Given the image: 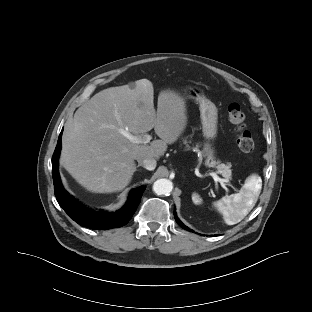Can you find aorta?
Listing matches in <instances>:
<instances>
[{
	"label": "aorta",
	"instance_id": "762f6f07",
	"mask_svg": "<svg viewBox=\"0 0 312 312\" xmlns=\"http://www.w3.org/2000/svg\"><path fill=\"white\" fill-rule=\"evenodd\" d=\"M173 189V184L168 179H158L153 184V191L157 195H167L169 194Z\"/></svg>",
	"mask_w": 312,
	"mask_h": 312
}]
</instances>
